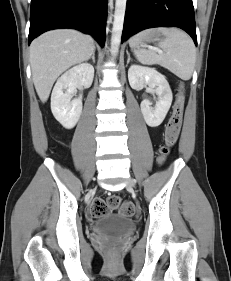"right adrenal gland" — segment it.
I'll return each instance as SVG.
<instances>
[{
	"instance_id": "right-adrenal-gland-1",
	"label": "right adrenal gland",
	"mask_w": 231,
	"mask_h": 281,
	"mask_svg": "<svg viewBox=\"0 0 231 281\" xmlns=\"http://www.w3.org/2000/svg\"><path fill=\"white\" fill-rule=\"evenodd\" d=\"M91 59H92L93 63H95V51L92 53Z\"/></svg>"
}]
</instances>
